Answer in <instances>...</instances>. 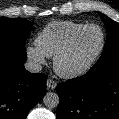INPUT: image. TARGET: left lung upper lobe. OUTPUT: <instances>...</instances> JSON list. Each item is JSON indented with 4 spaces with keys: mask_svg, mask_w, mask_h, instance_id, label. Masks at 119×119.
I'll use <instances>...</instances> for the list:
<instances>
[{
    "mask_svg": "<svg viewBox=\"0 0 119 119\" xmlns=\"http://www.w3.org/2000/svg\"><path fill=\"white\" fill-rule=\"evenodd\" d=\"M106 30L107 39L103 54L91 68L94 71H103L116 63H119V23L113 21L103 13H99Z\"/></svg>",
    "mask_w": 119,
    "mask_h": 119,
    "instance_id": "left-lung-upper-lobe-1",
    "label": "left lung upper lobe"
}]
</instances>
